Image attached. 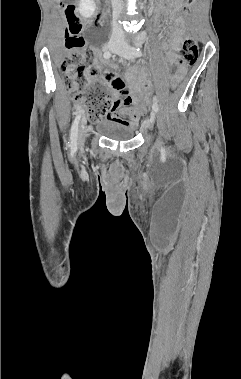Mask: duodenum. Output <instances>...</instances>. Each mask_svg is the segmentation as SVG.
<instances>
[{"label":"duodenum","instance_id":"duodenum-1","mask_svg":"<svg viewBox=\"0 0 241 379\" xmlns=\"http://www.w3.org/2000/svg\"><path fill=\"white\" fill-rule=\"evenodd\" d=\"M104 1V3H107L108 2V0H103Z\"/></svg>","mask_w":241,"mask_h":379}]
</instances>
